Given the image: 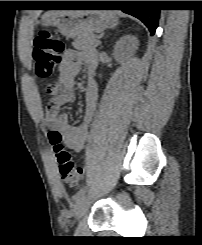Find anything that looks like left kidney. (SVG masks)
Segmentation results:
<instances>
[{
	"instance_id": "1",
	"label": "left kidney",
	"mask_w": 202,
	"mask_h": 245,
	"mask_svg": "<svg viewBox=\"0 0 202 245\" xmlns=\"http://www.w3.org/2000/svg\"><path fill=\"white\" fill-rule=\"evenodd\" d=\"M139 41L135 36L125 35L121 37L113 51L115 59L119 62H123L127 57L132 56L138 49Z\"/></svg>"
}]
</instances>
